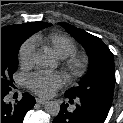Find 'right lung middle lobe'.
<instances>
[{
	"mask_svg": "<svg viewBox=\"0 0 123 123\" xmlns=\"http://www.w3.org/2000/svg\"><path fill=\"white\" fill-rule=\"evenodd\" d=\"M46 26H31L21 29L6 42H1V90H11L13 87V73L18 67V50L22 43L35 32Z\"/></svg>",
	"mask_w": 123,
	"mask_h": 123,
	"instance_id": "dd1d6c3e",
	"label": "right lung middle lobe"
}]
</instances>
